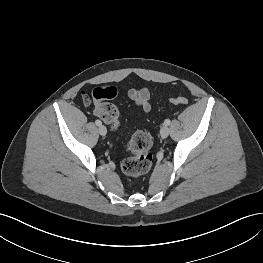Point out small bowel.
<instances>
[{
    "mask_svg": "<svg viewBox=\"0 0 263 263\" xmlns=\"http://www.w3.org/2000/svg\"><path fill=\"white\" fill-rule=\"evenodd\" d=\"M129 98L143 111L149 112L151 109V93L146 88L130 89Z\"/></svg>",
    "mask_w": 263,
    "mask_h": 263,
    "instance_id": "small-bowel-1",
    "label": "small bowel"
}]
</instances>
